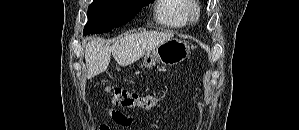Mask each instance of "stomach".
<instances>
[{
    "instance_id": "obj_1",
    "label": "stomach",
    "mask_w": 299,
    "mask_h": 130,
    "mask_svg": "<svg viewBox=\"0 0 299 130\" xmlns=\"http://www.w3.org/2000/svg\"><path fill=\"white\" fill-rule=\"evenodd\" d=\"M190 52L187 42L177 38H170L158 45L151 52L145 54L142 60V67L151 68L157 62L164 65H176L184 61Z\"/></svg>"
}]
</instances>
